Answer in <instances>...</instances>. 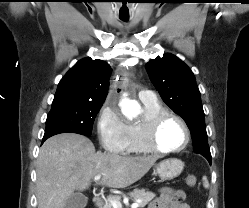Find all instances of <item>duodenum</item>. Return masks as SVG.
<instances>
[{
	"label": "duodenum",
	"mask_w": 249,
	"mask_h": 208,
	"mask_svg": "<svg viewBox=\"0 0 249 208\" xmlns=\"http://www.w3.org/2000/svg\"><path fill=\"white\" fill-rule=\"evenodd\" d=\"M93 204L95 207H100L103 204L104 198L102 194H96L93 199Z\"/></svg>",
	"instance_id": "duodenum-1"
}]
</instances>
